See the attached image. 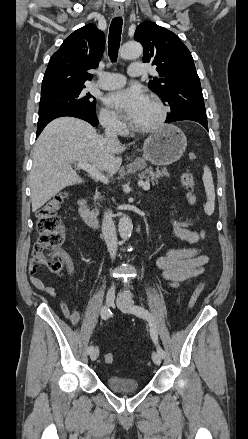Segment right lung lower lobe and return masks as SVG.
<instances>
[{"mask_svg": "<svg viewBox=\"0 0 248 439\" xmlns=\"http://www.w3.org/2000/svg\"><path fill=\"white\" fill-rule=\"evenodd\" d=\"M63 116H71L83 119L89 122L92 126H97L99 123L95 111H88L85 109H60L43 116H39L36 137L39 136L41 131L50 121Z\"/></svg>", "mask_w": 248, "mask_h": 439, "instance_id": "right-lung-lower-lobe-1", "label": "right lung lower lobe"}]
</instances>
